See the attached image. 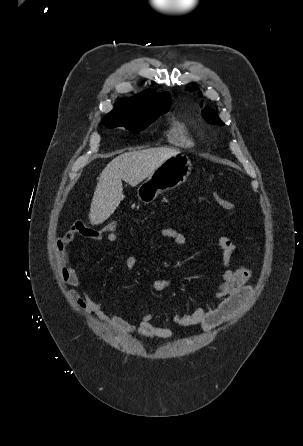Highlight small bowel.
Listing matches in <instances>:
<instances>
[{"mask_svg":"<svg viewBox=\"0 0 303 446\" xmlns=\"http://www.w3.org/2000/svg\"><path fill=\"white\" fill-rule=\"evenodd\" d=\"M158 235L174 242L178 246L188 243V237L171 227H163ZM77 236L94 241L104 238L111 243H118L117 235H104L101 231L87 228L81 221L71 224L69 229L56 240L55 251L57 264L65 284L72 287L69 291L76 305L86 314H93L110 328L124 333L136 334L140 337L167 340L172 331L165 326L156 325L153 320L156 313H149L130 322L116 314L104 303L94 300L85 283L79 278L71 262V247ZM221 249V262L223 274L221 281L215 287V301L213 305L198 307L192 313H176L174 322L177 326L186 328L200 325L204 331H211L231 318L240 307L249 299L252 288L248 285L251 271L246 267L233 268L232 256L236 250L235 243L226 236L218 239ZM136 258L128 254L125 256V265L129 270L136 267ZM174 285L169 279H157L152 283L155 292H162Z\"/></svg>","mask_w":303,"mask_h":446,"instance_id":"obj_1","label":"small bowel"}]
</instances>
